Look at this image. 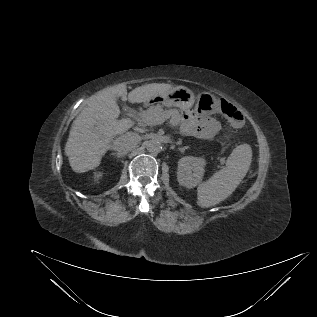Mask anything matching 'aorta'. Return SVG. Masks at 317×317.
I'll return each instance as SVG.
<instances>
[{"mask_svg":"<svg viewBox=\"0 0 317 317\" xmlns=\"http://www.w3.org/2000/svg\"><path fill=\"white\" fill-rule=\"evenodd\" d=\"M146 149L152 155L160 153L162 146L158 140H149L146 142Z\"/></svg>","mask_w":317,"mask_h":317,"instance_id":"762f6f07","label":"aorta"}]
</instances>
